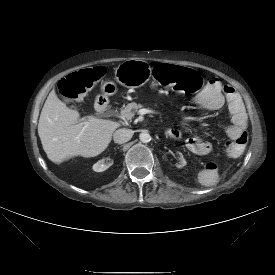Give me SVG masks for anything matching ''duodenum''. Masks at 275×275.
<instances>
[{
	"mask_svg": "<svg viewBox=\"0 0 275 275\" xmlns=\"http://www.w3.org/2000/svg\"><path fill=\"white\" fill-rule=\"evenodd\" d=\"M95 109L100 114L104 113L108 109L107 99L103 96H98L95 100Z\"/></svg>",
	"mask_w": 275,
	"mask_h": 275,
	"instance_id": "duodenum-1",
	"label": "duodenum"
}]
</instances>
